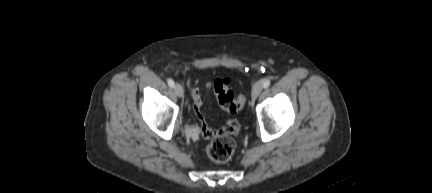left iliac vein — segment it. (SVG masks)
<instances>
[{
	"label": "left iliac vein",
	"mask_w": 432,
	"mask_h": 193,
	"mask_svg": "<svg viewBox=\"0 0 432 193\" xmlns=\"http://www.w3.org/2000/svg\"><path fill=\"white\" fill-rule=\"evenodd\" d=\"M262 90H263V82L262 81L256 82L252 91L253 99H256L260 95Z\"/></svg>",
	"instance_id": "1"
}]
</instances>
